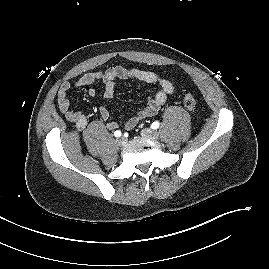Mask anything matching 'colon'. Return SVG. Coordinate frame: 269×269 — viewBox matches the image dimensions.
Segmentation results:
<instances>
[{
  "instance_id": "1",
  "label": "colon",
  "mask_w": 269,
  "mask_h": 269,
  "mask_svg": "<svg viewBox=\"0 0 269 269\" xmlns=\"http://www.w3.org/2000/svg\"><path fill=\"white\" fill-rule=\"evenodd\" d=\"M183 104L189 110H194L196 108V100L189 92L184 93Z\"/></svg>"
}]
</instances>
